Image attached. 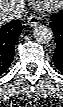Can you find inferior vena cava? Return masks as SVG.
<instances>
[{
	"mask_svg": "<svg viewBox=\"0 0 63 107\" xmlns=\"http://www.w3.org/2000/svg\"><path fill=\"white\" fill-rule=\"evenodd\" d=\"M24 13V2L22 0H2L0 6V17L5 20L22 18Z\"/></svg>",
	"mask_w": 63,
	"mask_h": 107,
	"instance_id": "1",
	"label": "inferior vena cava"
}]
</instances>
